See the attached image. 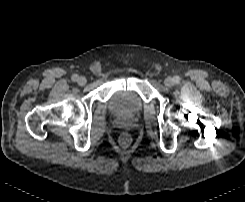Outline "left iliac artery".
Wrapping results in <instances>:
<instances>
[{"instance_id":"obj_1","label":"left iliac artery","mask_w":245,"mask_h":202,"mask_svg":"<svg viewBox=\"0 0 245 202\" xmlns=\"http://www.w3.org/2000/svg\"><path fill=\"white\" fill-rule=\"evenodd\" d=\"M174 82H175L176 84H178V83L180 82V77H179V76H175V77H174Z\"/></svg>"}]
</instances>
